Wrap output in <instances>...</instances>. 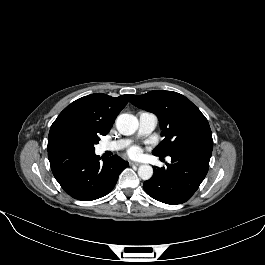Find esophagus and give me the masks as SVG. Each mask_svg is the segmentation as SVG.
<instances>
[{"instance_id": "obj_1", "label": "esophagus", "mask_w": 265, "mask_h": 265, "mask_svg": "<svg viewBox=\"0 0 265 265\" xmlns=\"http://www.w3.org/2000/svg\"><path fill=\"white\" fill-rule=\"evenodd\" d=\"M131 166H140L141 163H138V162H130L129 163Z\"/></svg>"}]
</instances>
